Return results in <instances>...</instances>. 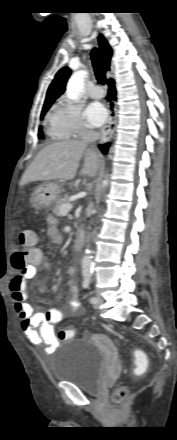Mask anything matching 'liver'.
<instances>
[{
	"label": "liver",
	"instance_id": "obj_1",
	"mask_svg": "<svg viewBox=\"0 0 177 440\" xmlns=\"http://www.w3.org/2000/svg\"><path fill=\"white\" fill-rule=\"evenodd\" d=\"M84 155L82 175L94 177L99 168V155L93 149H87L86 142L66 140L43 148L26 169L20 185L35 181L74 178L79 161Z\"/></svg>",
	"mask_w": 177,
	"mask_h": 440
}]
</instances>
